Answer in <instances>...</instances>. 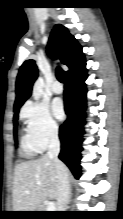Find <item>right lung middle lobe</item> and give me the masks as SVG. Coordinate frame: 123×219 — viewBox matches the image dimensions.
Listing matches in <instances>:
<instances>
[{
  "label": "right lung middle lobe",
  "instance_id": "obj_1",
  "mask_svg": "<svg viewBox=\"0 0 123 219\" xmlns=\"http://www.w3.org/2000/svg\"><path fill=\"white\" fill-rule=\"evenodd\" d=\"M17 120H18V111H15L14 118H13V121H14V132H16Z\"/></svg>",
  "mask_w": 123,
  "mask_h": 219
}]
</instances>
